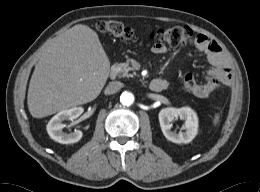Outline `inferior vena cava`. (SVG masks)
<instances>
[{
	"instance_id": "602c4592",
	"label": "inferior vena cava",
	"mask_w": 260,
	"mask_h": 192,
	"mask_svg": "<svg viewBox=\"0 0 260 192\" xmlns=\"http://www.w3.org/2000/svg\"><path fill=\"white\" fill-rule=\"evenodd\" d=\"M123 87V83L120 81L110 82L109 85L105 89V94L110 95L119 91Z\"/></svg>"
}]
</instances>
